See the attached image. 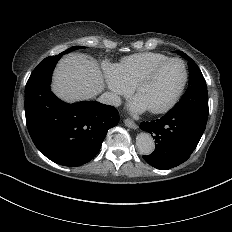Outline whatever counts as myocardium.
I'll return each mask as SVG.
<instances>
[{"instance_id": "myocardium-1", "label": "myocardium", "mask_w": 232, "mask_h": 232, "mask_svg": "<svg viewBox=\"0 0 232 232\" xmlns=\"http://www.w3.org/2000/svg\"><path fill=\"white\" fill-rule=\"evenodd\" d=\"M171 62H177L179 64L182 65L183 70H184V79L182 82V85L180 86L179 90L176 92V94L173 96V98L163 107L158 108V109H153V110H149L150 113L155 114V115H159V114H164L167 113L168 111H170L179 101V99L181 98L182 94L184 93L188 80H189V70L187 67V64L185 63L184 60L177 58V57H169L157 64H155L154 66H152L148 71H146L143 75H141L137 81L135 82V84L132 87V92L133 94L136 95L137 91L139 90V88L149 79H151L158 70H160L162 67H164L166 64L171 63Z\"/></svg>"}]
</instances>
